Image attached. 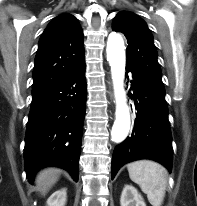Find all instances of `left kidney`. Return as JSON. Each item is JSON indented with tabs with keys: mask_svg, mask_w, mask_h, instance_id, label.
Segmentation results:
<instances>
[{
	"mask_svg": "<svg viewBox=\"0 0 197 206\" xmlns=\"http://www.w3.org/2000/svg\"><path fill=\"white\" fill-rule=\"evenodd\" d=\"M121 206H146L142 196L132 185H125L121 199Z\"/></svg>",
	"mask_w": 197,
	"mask_h": 206,
	"instance_id": "5707ae66",
	"label": "left kidney"
}]
</instances>
